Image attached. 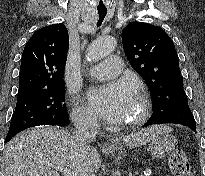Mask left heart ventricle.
I'll list each match as a JSON object with an SVG mask.
<instances>
[{
    "label": "left heart ventricle",
    "mask_w": 205,
    "mask_h": 176,
    "mask_svg": "<svg viewBox=\"0 0 205 176\" xmlns=\"http://www.w3.org/2000/svg\"><path fill=\"white\" fill-rule=\"evenodd\" d=\"M141 111V105L137 98L134 99L132 105L129 107L128 111L125 113L124 117L120 120L122 123L131 121L138 117Z\"/></svg>",
    "instance_id": "obj_1"
}]
</instances>
